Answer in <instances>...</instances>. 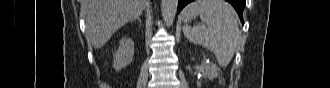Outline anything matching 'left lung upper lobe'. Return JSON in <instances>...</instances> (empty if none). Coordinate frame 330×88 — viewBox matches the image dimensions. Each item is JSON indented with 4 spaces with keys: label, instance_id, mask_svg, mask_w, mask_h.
Segmentation results:
<instances>
[{
    "label": "left lung upper lobe",
    "instance_id": "obj_1",
    "mask_svg": "<svg viewBox=\"0 0 330 88\" xmlns=\"http://www.w3.org/2000/svg\"><path fill=\"white\" fill-rule=\"evenodd\" d=\"M245 6V1L243 2V7Z\"/></svg>",
    "mask_w": 330,
    "mask_h": 88
}]
</instances>
